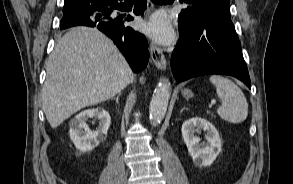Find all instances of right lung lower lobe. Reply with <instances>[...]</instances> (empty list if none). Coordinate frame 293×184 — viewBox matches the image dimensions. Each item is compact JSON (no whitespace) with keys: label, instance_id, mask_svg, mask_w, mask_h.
<instances>
[{"label":"right lung lower lobe","instance_id":"right-lung-lower-lobe-1","mask_svg":"<svg viewBox=\"0 0 293 184\" xmlns=\"http://www.w3.org/2000/svg\"><path fill=\"white\" fill-rule=\"evenodd\" d=\"M146 6V0H100L64 15L60 21V28L65 29L75 25L97 27L114 41L132 70L137 73L142 71L148 63L147 40L143 34L119 22L118 18H112L111 14L133 8L136 15H142ZM133 19L129 15L126 21Z\"/></svg>","mask_w":293,"mask_h":184}]
</instances>
